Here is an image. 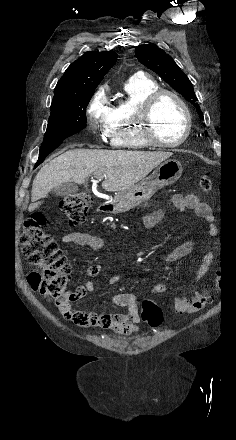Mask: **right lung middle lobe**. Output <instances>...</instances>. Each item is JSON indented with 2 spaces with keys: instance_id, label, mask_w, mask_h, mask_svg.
Wrapping results in <instances>:
<instances>
[{
  "instance_id": "obj_1",
  "label": "right lung middle lobe",
  "mask_w": 236,
  "mask_h": 440,
  "mask_svg": "<svg viewBox=\"0 0 236 440\" xmlns=\"http://www.w3.org/2000/svg\"><path fill=\"white\" fill-rule=\"evenodd\" d=\"M92 94L51 104V115L41 146L62 143L67 137L85 128L86 107Z\"/></svg>"
}]
</instances>
